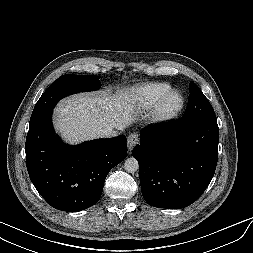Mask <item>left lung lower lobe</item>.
<instances>
[{"instance_id": "1", "label": "left lung lower lobe", "mask_w": 253, "mask_h": 253, "mask_svg": "<svg viewBox=\"0 0 253 253\" xmlns=\"http://www.w3.org/2000/svg\"><path fill=\"white\" fill-rule=\"evenodd\" d=\"M216 118L176 121L141 131L133 149L142 195L158 208L180 209L195 202L211 182L218 159Z\"/></svg>"}]
</instances>
